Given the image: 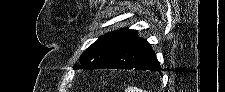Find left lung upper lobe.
I'll use <instances>...</instances> for the list:
<instances>
[{
  "label": "left lung upper lobe",
  "mask_w": 225,
  "mask_h": 92,
  "mask_svg": "<svg viewBox=\"0 0 225 92\" xmlns=\"http://www.w3.org/2000/svg\"><path fill=\"white\" fill-rule=\"evenodd\" d=\"M137 31L121 29L101 36L80 56L81 65L74 68L95 69L105 59L137 38Z\"/></svg>",
  "instance_id": "5c2ea615"
}]
</instances>
